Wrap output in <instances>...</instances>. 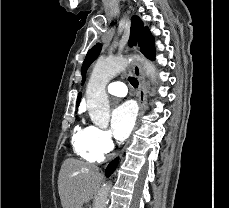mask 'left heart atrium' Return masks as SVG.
<instances>
[{"instance_id":"1","label":"left heart atrium","mask_w":229,"mask_h":208,"mask_svg":"<svg viewBox=\"0 0 229 208\" xmlns=\"http://www.w3.org/2000/svg\"><path fill=\"white\" fill-rule=\"evenodd\" d=\"M136 119V110L132 103L124 102L117 106L111 118L112 131L118 140H124L131 132Z\"/></svg>"}]
</instances>
